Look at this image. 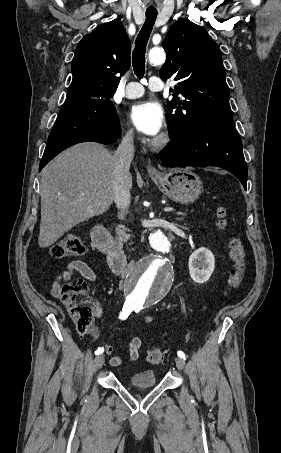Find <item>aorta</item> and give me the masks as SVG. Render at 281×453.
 I'll return each instance as SVG.
<instances>
[{
	"label": "aorta",
	"instance_id": "obj_1",
	"mask_svg": "<svg viewBox=\"0 0 281 453\" xmlns=\"http://www.w3.org/2000/svg\"><path fill=\"white\" fill-rule=\"evenodd\" d=\"M166 60L163 49L153 48L149 62L161 65ZM156 256L143 259L128 274L126 280L127 301L133 306L151 305L162 300L171 289L174 272L168 259L162 256L171 249L170 240L160 230L149 237Z\"/></svg>",
	"mask_w": 281,
	"mask_h": 453
}]
</instances>
